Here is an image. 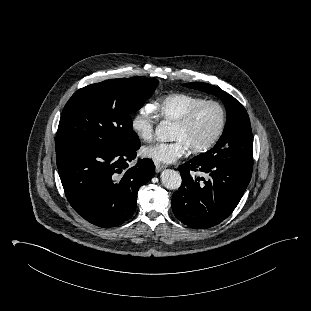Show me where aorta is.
<instances>
[{
	"mask_svg": "<svg viewBox=\"0 0 311 311\" xmlns=\"http://www.w3.org/2000/svg\"><path fill=\"white\" fill-rule=\"evenodd\" d=\"M155 135L158 141L167 142L172 138L171 125L166 121H161L155 129ZM161 182L169 190H177L181 186L180 174L172 169H166L161 173Z\"/></svg>",
	"mask_w": 311,
	"mask_h": 311,
	"instance_id": "762f6f07",
	"label": "aorta"
}]
</instances>
